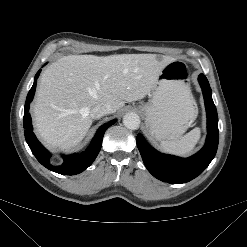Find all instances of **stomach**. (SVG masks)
<instances>
[{
    "label": "stomach",
    "instance_id": "obj_1",
    "mask_svg": "<svg viewBox=\"0 0 247 247\" xmlns=\"http://www.w3.org/2000/svg\"><path fill=\"white\" fill-rule=\"evenodd\" d=\"M187 67L180 61L167 64L150 91V100L139 106L150 134L158 140H177L197 116L188 102Z\"/></svg>",
    "mask_w": 247,
    "mask_h": 247
}]
</instances>
